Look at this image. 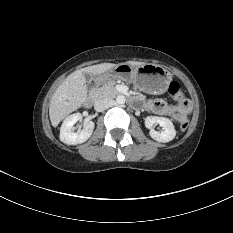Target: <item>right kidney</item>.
<instances>
[{
    "instance_id": "ca27d5eb",
    "label": "right kidney",
    "mask_w": 233,
    "mask_h": 233,
    "mask_svg": "<svg viewBox=\"0 0 233 233\" xmlns=\"http://www.w3.org/2000/svg\"><path fill=\"white\" fill-rule=\"evenodd\" d=\"M81 119L80 113H74L65 118L60 129V140L63 143L77 145L84 143L91 137L95 126L93 121L85 122L82 130L74 132V124Z\"/></svg>"
}]
</instances>
